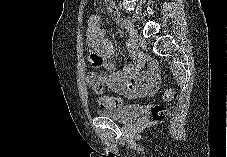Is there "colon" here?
<instances>
[{
  "instance_id": "colon-1",
  "label": "colon",
  "mask_w": 227,
  "mask_h": 157,
  "mask_svg": "<svg viewBox=\"0 0 227 157\" xmlns=\"http://www.w3.org/2000/svg\"><path fill=\"white\" fill-rule=\"evenodd\" d=\"M94 64H100L101 62H93ZM90 86L97 92L103 91V81L98 73H91L88 77ZM175 90L168 88L163 95L165 101H170L174 98ZM98 104L103 108L119 107L123 105V99L121 97L110 98L107 96H100L98 98ZM168 114L167 108L162 104H154L151 108V117L154 121L163 120Z\"/></svg>"
}]
</instances>
